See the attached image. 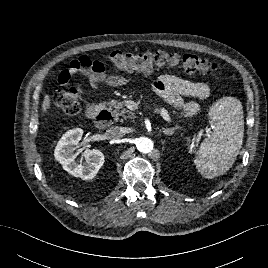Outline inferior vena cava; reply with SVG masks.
<instances>
[{
    "label": "inferior vena cava",
    "mask_w": 268,
    "mask_h": 268,
    "mask_svg": "<svg viewBox=\"0 0 268 268\" xmlns=\"http://www.w3.org/2000/svg\"><path fill=\"white\" fill-rule=\"evenodd\" d=\"M105 134L108 139H113V140H117L123 137L122 128L119 126L110 127L108 130H106Z\"/></svg>",
    "instance_id": "obj_1"
}]
</instances>
